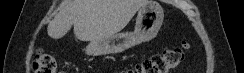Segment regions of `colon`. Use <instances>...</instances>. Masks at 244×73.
Instances as JSON below:
<instances>
[{
	"label": "colon",
	"mask_w": 244,
	"mask_h": 73,
	"mask_svg": "<svg viewBox=\"0 0 244 73\" xmlns=\"http://www.w3.org/2000/svg\"><path fill=\"white\" fill-rule=\"evenodd\" d=\"M187 49L185 42L179 47L167 48L133 65L124 73H171L184 61ZM32 69L35 73H58L56 59L44 51L36 53Z\"/></svg>",
	"instance_id": "colon-1"
}]
</instances>
